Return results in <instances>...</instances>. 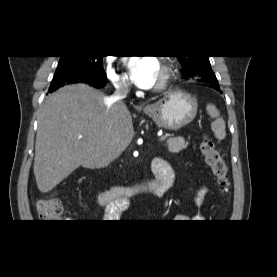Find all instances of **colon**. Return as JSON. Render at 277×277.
<instances>
[{"mask_svg":"<svg viewBox=\"0 0 277 277\" xmlns=\"http://www.w3.org/2000/svg\"><path fill=\"white\" fill-rule=\"evenodd\" d=\"M200 151L221 191L227 193L229 191L228 167L216 144L213 140L204 138L200 144ZM37 210L42 220L55 222L62 215L63 206L58 198L51 196L40 199L37 202Z\"/></svg>","mask_w":277,"mask_h":277,"instance_id":"5ec220e1","label":"colon"}]
</instances>
